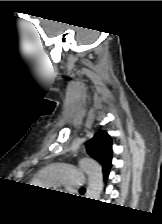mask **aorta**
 Returning a JSON list of instances; mask_svg holds the SVG:
<instances>
[{
    "label": "aorta",
    "mask_w": 162,
    "mask_h": 224,
    "mask_svg": "<svg viewBox=\"0 0 162 224\" xmlns=\"http://www.w3.org/2000/svg\"><path fill=\"white\" fill-rule=\"evenodd\" d=\"M79 166L88 176L86 198L99 200L103 188V174L101 166L93 159L82 158Z\"/></svg>",
    "instance_id": "762f6f07"
}]
</instances>
